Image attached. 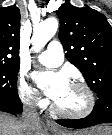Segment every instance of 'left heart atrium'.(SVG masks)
<instances>
[{
  "label": "left heart atrium",
  "instance_id": "39dd6f15",
  "mask_svg": "<svg viewBox=\"0 0 112 135\" xmlns=\"http://www.w3.org/2000/svg\"><path fill=\"white\" fill-rule=\"evenodd\" d=\"M33 78L43 88L46 94L53 100L59 99L69 86L67 75L63 72L34 73Z\"/></svg>",
  "mask_w": 112,
  "mask_h": 135
}]
</instances>
